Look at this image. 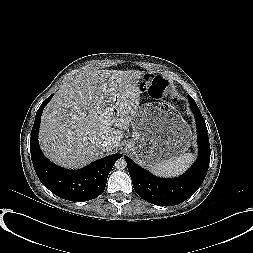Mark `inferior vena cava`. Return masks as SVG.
Returning <instances> with one entry per match:
<instances>
[{
    "instance_id": "obj_1",
    "label": "inferior vena cava",
    "mask_w": 253,
    "mask_h": 253,
    "mask_svg": "<svg viewBox=\"0 0 253 253\" xmlns=\"http://www.w3.org/2000/svg\"><path fill=\"white\" fill-rule=\"evenodd\" d=\"M113 143H114V142H113L112 139L106 138V139L103 141L102 146H103L104 148H108L109 146L113 145Z\"/></svg>"
}]
</instances>
